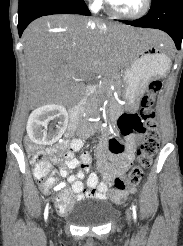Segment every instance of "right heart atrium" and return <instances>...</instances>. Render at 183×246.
Wrapping results in <instances>:
<instances>
[{
	"mask_svg": "<svg viewBox=\"0 0 183 246\" xmlns=\"http://www.w3.org/2000/svg\"><path fill=\"white\" fill-rule=\"evenodd\" d=\"M88 1L91 3L93 8L99 7L102 2V0H88Z\"/></svg>",
	"mask_w": 183,
	"mask_h": 246,
	"instance_id": "obj_1",
	"label": "right heart atrium"
}]
</instances>
